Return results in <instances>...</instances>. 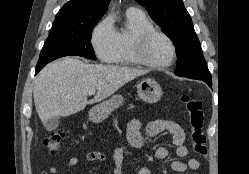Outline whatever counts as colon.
Wrapping results in <instances>:
<instances>
[{"instance_id":"1","label":"colon","mask_w":249,"mask_h":174,"mask_svg":"<svg viewBox=\"0 0 249 174\" xmlns=\"http://www.w3.org/2000/svg\"><path fill=\"white\" fill-rule=\"evenodd\" d=\"M180 101L185 105L188 112L190 127L189 138L194 152L199 156L206 158L208 149L204 133V116L201 103L195 97L188 94L180 95ZM64 136V131L55 130L50 132L45 138L44 146L50 154L55 155L59 152Z\"/></svg>"}]
</instances>
